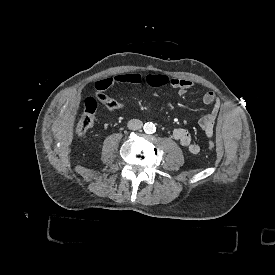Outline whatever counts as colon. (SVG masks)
I'll list each match as a JSON object with an SVG mask.
<instances>
[{"instance_id":"1","label":"colon","mask_w":275,"mask_h":275,"mask_svg":"<svg viewBox=\"0 0 275 275\" xmlns=\"http://www.w3.org/2000/svg\"><path fill=\"white\" fill-rule=\"evenodd\" d=\"M97 94L98 96H102V99L105 101V104L102 107L109 110H116L120 107L119 102L115 99H112L101 92H97ZM98 106L99 105L93 100L92 97L87 99L84 106V113L76 125V132L78 134H85L93 126ZM205 148L209 152H214L216 150V145L214 142L208 141L205 145Z\"/></svg>"}]
</instances>
